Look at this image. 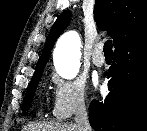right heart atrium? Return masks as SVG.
<instances>
[{"label":"right heart atrium","mask_w":147,"mask_h":131,"mask_svg":"<svg viewBox=\"0 0 147 131\" xmlns=\"http://www.w3.org/2000/svg\"><path fill=\"white\" fill-rule=\"evenodd\" d=\"M54 84L53 116L60 121L72 118L86 109V85L79 78L62 79L52 76Z\"/></svg>","instance_id":"right-heart-atrium-1"}]
</instances>
